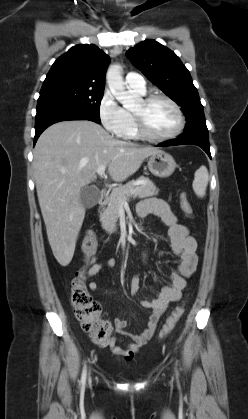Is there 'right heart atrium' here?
<instances>
[{
    "mask_svg": "<svg viewBox=\"0 0 248 419\" xmlns=\"http://www.w3.org/2000/svg\"><path fill=\"white\" fill-rule=\"evenodd\" d=\"M98 114L104 128L117 137H123L127 124L128 113L119 105L110 91H105L100 99Z\"/></svg>",
    "mask_w": 248,
    "mask_h": 419,
    "instance_id": "1",
    "label": "right heart atrium"
}]
</instances>
